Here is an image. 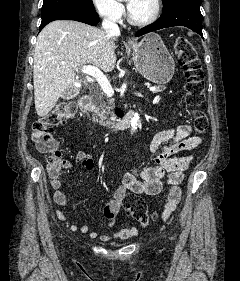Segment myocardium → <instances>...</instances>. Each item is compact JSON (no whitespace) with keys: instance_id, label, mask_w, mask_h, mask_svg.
I'll list each match as a JSON object with an SVG mask.
<instances>
[{"instance_id":"myocardium-1","label":"myocardium","mask_w":240,"mask_h":281,"mask_svg":"<svg viewBox=\"0 0 240 281\" xmlns=\"http://www.w3.org/2000/svg\"><path fill=\"white\" fill-rule=\"evenodd\" d=\"M160 11H161V0H153V11L148 18L142 20L135 19L132 17L128 9L127 20L131 25L134 26H138V27L148 26L154 23L158 19Z\"/></svg>"}]
</instances>
